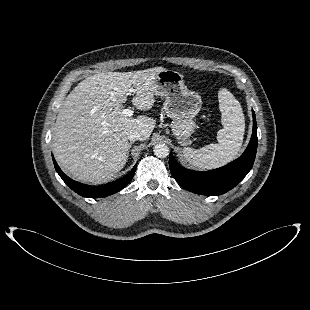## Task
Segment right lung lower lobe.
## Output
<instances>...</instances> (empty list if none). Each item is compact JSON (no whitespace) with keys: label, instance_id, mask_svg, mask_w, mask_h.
I'll return each mask as SVG.
<instances>
[{"label":"right lung lower lobe","instance_id":"obj_1","mask_svg":"<svg viewBox=\"0 0 310 310\" xmlns=\"http://www.w3.org/2000/svg\"><path fill=\"white\" fill-rule=\"evenodd\" d=\"M53 158V163L55 166V169L57 173L60 175L62 180L76 193L83 197H88V198H99V197H106L111 194H114L121 189H123L133 178L135 170H136V165L134 168L124 177L107 183L105 185L101 186H90L86 184L79 183L77 181L72 180L68 176H66L62 170L59 168L58 164L56 163L54 157Z\"/></svg>","mask_w":310,"mask_h":310}]
</instances>
